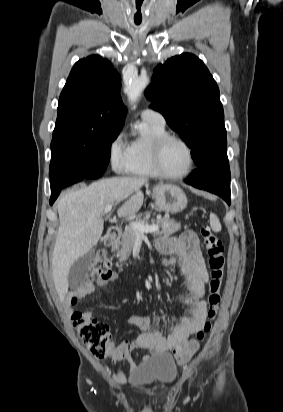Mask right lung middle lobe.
<instances>
[{"label":"right lung middle lobe","instance_id":"dd1d6c3e","mask_svg":"<svg viewBox=\"0 0 283 412\" xmlns=\"http://www.w3.org/2000/svg\"><path fill=\"white\" fill-rule=\"evenodd\" d=\"M120 131L100 132L77 118L56 120L51 142L50 178L76 173L110 160L111 144Z\"/></svg>","mask_w":283,"mask_h":412}]
</instances>
